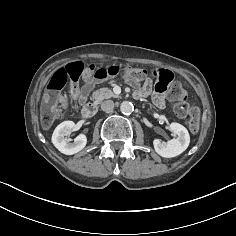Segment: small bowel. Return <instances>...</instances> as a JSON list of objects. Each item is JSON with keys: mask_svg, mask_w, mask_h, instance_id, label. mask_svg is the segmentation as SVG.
<instances>
[{"mask_svg": "<svg viewBox=\"0 0 236 236\" xmlns=\"http://www.w3.org/2000/svg\"><path fill=\"white\" fill-rule=\"evenodd\" d=\"M163 70H155L154 76L156 79L155 84L158 82L161 76V72ZM136 84V83H134ZM94 87V82L89 81L87 82L81 89L77 88L76 90H71V96L74 100H77L80 104H83L86 102L89 93ZM152 89V80L146 79L143 85L137 90V96L139 97H146L150 94ZM152 100L154 104L160 108H163L165 106V96L164 92H156L154 88V92L152 95ZM64 105L67 107V101L64 99Z\"/></svg>", "mask_w": 236, "mask_h": 236, "instance_id": "obj_1", "label": "small bowel"}]
</instances>
